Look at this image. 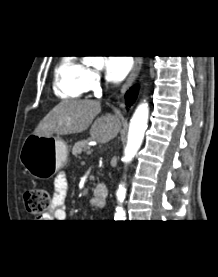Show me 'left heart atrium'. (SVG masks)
<instances>
[{
	"mask_svg": "<svg viewBox=\"0 0 218 277\" xmlns=\"http://www.w3.org/2000/svg\"><path fill=\"white\" fill-rule=\"evenodd\" d=\"M132 67V61L126 57H108L106 60L107 77L112 82L123 80Z\"/></svg>",
	"mask_w": 218,
	"mask_h": 277,
	"instance_id": "1",
	"label": "left heart atrium"
}]
</instances>
